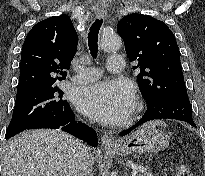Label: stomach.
<instances>
[{
	"mask_svg": "<svg viewBox=\"0 0 205 176\" xmlns=\"http://www.w3.org/2000/svg\"><path fill=\"white\" fill-rule=\"evenodd\" d=\"M170 137L155 124H145L131 135L119 140L109 151L117 155L159 152L169 145Z\"/></svg>",
	"mask_w": 205,
	"mask_h": 176,
	"instance_id": "stomach-1",
	"label": "stomach"
}]
</instances>
